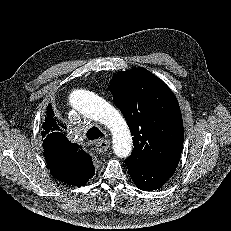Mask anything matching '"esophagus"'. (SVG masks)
I'll list each match as a JSON object with an SVG mask.
<instances>
[{
	"label": "esophagus",
	"instance_id": "34e87169",
	"mask_svg": "<svg viewBox=\"0 0 231 231\" xmlns=\"http://www.w3.org/2000/svg\"><path fill=\"white\" fill-rule=\"evenodd\" d=\"M109 146H110V142L108 140H103V139L99 140L96 143V151L99 153H103V152L107 151Z\"/></svg>",
	"mask_w": 231,
	"mask_h": 231
}]
</instances>
